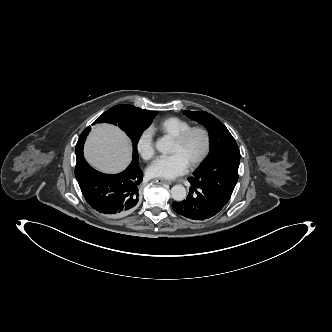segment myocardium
Here are the masks:
<instances>
[{"label":"myocardium","mask_w":332,"mask_h":332,"mask_svg":"<svg viewBox=\"0 0 332 332\" xmlns=\"http://www.w3.org/2000/svg\"><path fill=\"white\" fill-rule=\"evenodd\" d=\"M194 132H200L204 138V146L200 154L195 157L190 163L189 166L191 168L197 167L200 165L208 156L210 149H211V135L209 130L202 125H194L190 126L189 128L185 129L181 132L178 136L174 138V142L178 145H183L187 139L190 137L191 134Z\"/></svg>","instance_id":"f54148a6"}]
</instances>
